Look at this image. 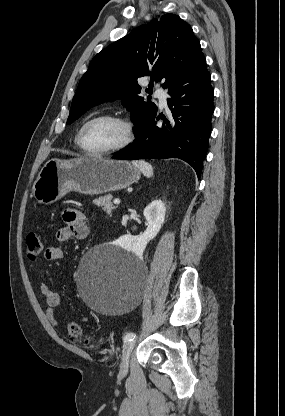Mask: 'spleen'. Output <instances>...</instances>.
<instances>
[{
	"label": "spleen",
	"mask_w": 285,
	"mask_h": 416,
	"mask_svg": "<svg viewBox=\"0 0 285 416\" xmlns=\"http://www.w3.org/2000/svg\"><path fill=\"white\" fill-rule=\"evenodd\" d=\"M133 166H136V168H139L140 172L146 176V178H152L153 176V168L151 164H148V162H144V160H134L132 162Z\"/></svg>",
	"instance_id": "3e777b00"
}]
</instances>
